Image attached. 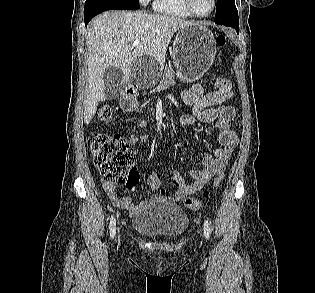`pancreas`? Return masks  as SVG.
Returning <instances> with one entry per match:
<instances>
[{"instance_id": "obj_1", "label": "pancreas", "mask_w": 315, "mask_h": 293, "mask_svg": "<svg viewBox=\"0 0 315 293\" xmlns=\"http://www.w3.org/2000/svg\"><path fill=\"white\" fill-rule=\"evenodd\" d=\"M176 73L174 71L173 68H165L164 74L163 76V80L160 81V88L164 87V86H169V85H173L174 84V77H175Z\"/></svg>"}]
</instances>
